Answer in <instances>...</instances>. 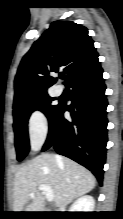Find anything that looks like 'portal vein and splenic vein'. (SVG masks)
<instances>
[{"mask_svg":"<svg viewBox=\"0 0 123 219\" xmlns=\"http://www.w3.org/2000/svg\"><path fill=\"white\" fill-rule=\"evenodd\" d=\"M38 190L42 191L45 194V196L49 202L53 201V199H54L53 191L49 186L41 184L38 187ZM30 195L33 196L34 193L32 192Z\"/></svg>","mask_w":123,"mask_h":219,"instance_id":"portal-vein-and-splenic-vein-1","label":"portal vein and splenic vein"}]
</instances>
